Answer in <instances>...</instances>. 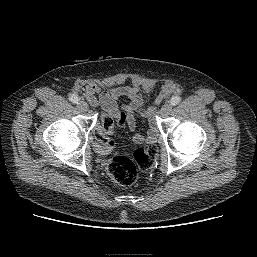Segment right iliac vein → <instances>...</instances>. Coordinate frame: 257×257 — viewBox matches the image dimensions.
<instances>
[{
	"label": "right iliac vein",
	"instance_id": "63e3f726",
	"mask_svg": "<svg viewBox=\"0 0 257 257\" xmlns=\"http://www.w3.org/2000/svg\"><path fill=\"white\" fill-rule=\"evenodd\" d=\"M77 107L83 112H86L89 109V106L85 101H79L77 103Z\"/></svg>",
	"mask_w": 257,
	"mask_h": 257
}]
</instances>
